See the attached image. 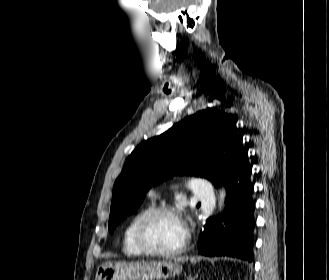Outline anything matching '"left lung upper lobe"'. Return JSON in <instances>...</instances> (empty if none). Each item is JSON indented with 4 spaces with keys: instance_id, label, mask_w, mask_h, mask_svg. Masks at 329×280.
<instances>
[{
    "instance_id": "obj_1",
    "label": "left lung upper lobe",
    "mask_w": 329,
    "mask_h": 280,
    "mask_svg": "<svg viewBox=\"0 0 329 280\" xmlns=\"http://www.w3.org/2000/svg\"><path fill=\"white\" fill-rule=\"evenodd\" d=\"M236 121L211 108L174 124L163 134L143 141L127 158L115 181L109 217L112 234L126 214L135 212L152 185L174 174L205 177L218 187L239 167L242 150ZM213 160L218 171L207 163Z\"/></svg>"
}]
</instances>
